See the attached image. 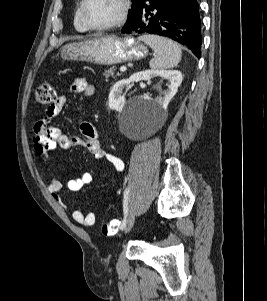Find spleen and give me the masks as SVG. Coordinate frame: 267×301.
<instances>
[{
  "label": "spleen",
  "mask_w": 267,
  "mask_h": 301,
  "mask_svg": "<svg viewBox=\"0 0 267 301\" xmlns=\"http://www.w3.org/2000/svg\"><path fill=\"white\" fill-rule=\"evenodd\" d=\"M139 40L149 45L156 54L150 60L151 69H169L177 66L180 62L182 51L179 45L172 40L157 35H142Z\"/></svg>",
  "instance_id": "1"
}]
</instances>
